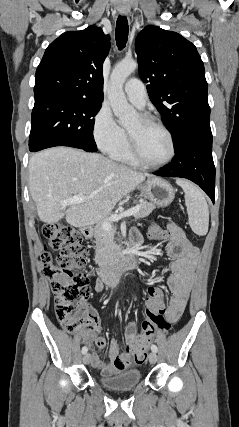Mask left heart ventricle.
Segmentation results:
<instances>
[{"mask_svg": "<svg viewBox=\"0 0 239 427\" xmlns=\"http://www.w3.org/2000/svg\"><path fill=\"white\" fill-rule=\"evenodd\" d=\"M127 130L136 139L141 155L148 162L159 163L169 157L170 141L159 128L143 123L137 116L127 125Z\"/></svg>", "mask_w": 239, "mask_h": 427, "instance_id": "left-heart-ventricle-1", "label": "left heart ventricle"}]
</instances>
